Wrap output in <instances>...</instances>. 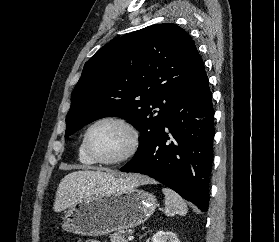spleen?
<instances>
[{
  "instance_id": "spleen-1",
  "label": "spleen",
  "mask_w": 279,
  "mask_h": 242,
  "mask_svg": "<svg viewBox=\"0 0 279 242\" xmlns=\"http://www.w3.org/2000/svg\"><path fill=\"white\" fill-rule=\"evenodd\" d=\"M165 195V213L168 216L175 214L185 215L187 213V205L183 198L175 191L169 188L162 189Z\"/></svg>"
}]
</instances>
